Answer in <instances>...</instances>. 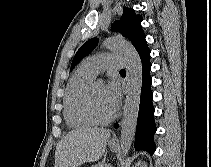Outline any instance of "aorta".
<instances>
[{"label": "aorta", "instance_id": "762f6f07", "mask_svg": "<svg viewBox=\"0 0 211 167\" xmlns=\"http://www.w3.org/2000/svg\"><path fill=\"white\" fill-rule=\"evenodd\" d=\"M103 46L108 50L119 53L126 64L128 88L121 122V148L122 158L124 159L133 142L138 118L142 84L141 59L133 45L123 39L106 38Z\"/></svg>", "mask_w": 211, "mask_h": 167}]
</instances>
